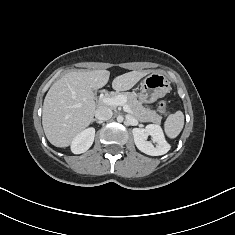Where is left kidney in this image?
<instances>
[{
    "instance_id": "5707ae66",
    "label": "left kidney",
    "mask_w": 235,
    "mask_h": 235,
    "mask_svg": "<svg viewBox=\"0 0 235 235\" xmlns=\"http://www.w3.org/2000/svg\"><path fill=\"white\" fill-rule=\"evenodd\" d=\"M136 147L143 153L150 156H160L166 154L170 145L166 142L161 127L157 124H149L145 128H134L132 130ZM152 137L156 147L147 141L148 136Z\"/></svg>"
}]
</instances>
